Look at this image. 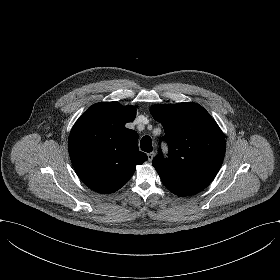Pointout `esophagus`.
Masks as SVG:
<instances>
[{
  "instance_id": "esophagus-1",
  "label": "esophagus",
  "mask_w": 280,
  "mask_h": 280,
  "mask_svg": "<svg viewBox=\"0 0 280 280\" xmlns=\"http://www.w3.org/2000/svg\"><path fill=\"white\" fill-rule=\"evenodd\" d=\"M155 153L154 152H149L147 153L148 156V161H152L153 157H154Z\"/></svg>"
}]
</instances>
